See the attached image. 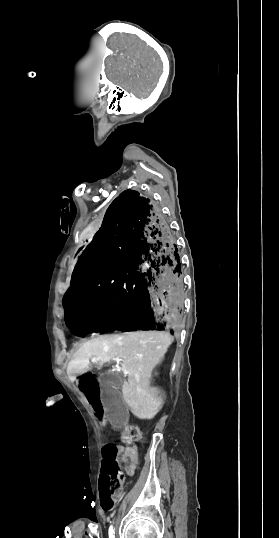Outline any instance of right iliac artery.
Segmentation results:
<instances>
[{"label":"right iliac artery","mask_w":279,"mask_h":538,"mask_svg":"<svg viewBox=\"0 0 279 538\" xmlns=\"http://www.w3.org/2000/svg\"><path fill=\"white\" fill-rule=\"evenodd\" d=\"M109 538H115V537H114V528H113L112 525H111L110 528H109Z\"/></svg>","instance_id":"1"}]
</instances>
